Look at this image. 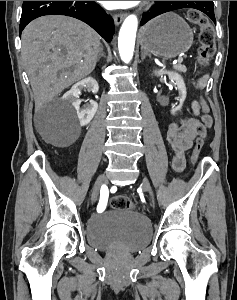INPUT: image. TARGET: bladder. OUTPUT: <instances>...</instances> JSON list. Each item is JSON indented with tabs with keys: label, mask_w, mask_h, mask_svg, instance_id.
<instances>
[{
	"label": "bladder",
	"mask_w": 237,
	"mask_h": 300,
	"mask_svg": "<svg viewBox=\"0 0 237 300\" xmlns=\"http://www.w3.org/2000/svg\"><path fill=\"white\" fill-rule=\"evenodd\" d=\"M88 243L101 251L137 252L146 247L152 238L149 220L127 210H112L94 214L86 226Z\"/></svg>",
	"instance_id": "31cf9c89"
}]
</instances>
